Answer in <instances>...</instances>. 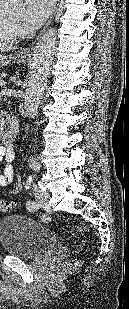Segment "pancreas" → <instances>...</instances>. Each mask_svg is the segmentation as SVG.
Instances as JSON below:
<instances>
[{
  "label": "pancreas",
  "mask_w": 129,
  "mask_h": 309,
  "mask_svg": "<svg viewBox=\"0 0 129 309\" xmlns=\"http://www.w3.org/2000/svg\"><path fill=\"white\" fill-rule=\"evenodd\" d=\"M3 78H4V75H1V76H0V82H3V81H4Z\"/></svg>",
  "instance_id": "1"
}]
</instances>
